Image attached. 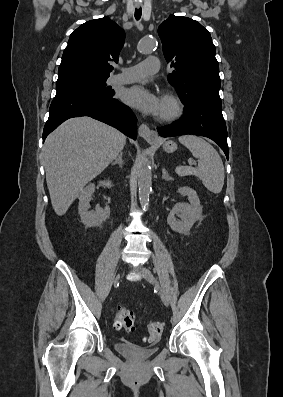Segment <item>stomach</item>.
Segmentation results:
<instances>
[{"label":"stomach","mask_w":283,"mask_h":397,"mask_svg":"<svg viewBox=\"0 0 283 397\" xmlns=\"http://www.w3.org/2000/svg\"><path fill=\"white\" fill-rule=\"evenodd\" d=\"M163 149L167 153H172L177 149V145L175 142L168 140L163 144Z\"/></svg>","instance_id":"stomach-1"}]
</instances>
